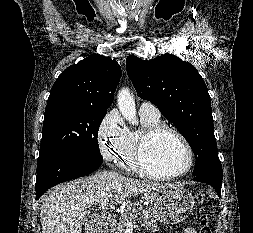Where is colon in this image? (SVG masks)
<instances>
[{
  "instance_id": "5ec220e1",
  "label": "colon",
  "mask_w": 253,
  "mask_h": 233,
  "mask_svg": "<svg viewBox=\"0 0 253 233\" xmlns=\"http://www.w3.org/2000/svg\"><path fill=\"white\" fill-rule=\"evenodd\" d=\"M196 198L198 201L200 202H203L204 199H205V196L203 193H198L196 195ZM199 233H212V230H211V226L209 224V220H208V217L207 215L205 214H202L200 216V221H199Z\"/></svg>"
}]
</instances>
